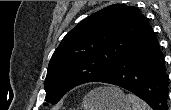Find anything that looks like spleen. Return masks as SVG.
<instances>
[{
  "mask_svg": "<svg viewBox=\"0 0 171 110\" xmlns=\"http://www.w3.org/2000/svg\"><path fill=\"white\" fill-rule=\"evenodd\" d=\"M127 100L132 105V110H151L150 106L134 94H127Z\"/></svg>",
  "mask_w": 171,
  "mask_h": 110,
  "instance_id": "1",
  "label": "spleen"
}]
</instances>
